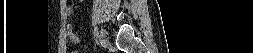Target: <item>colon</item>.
<instances>
[{"label":"colon","mask_w":253,"mask_h":53,"mask_svg":"<svg viewBox=\"0 0 253 53\" xmlns=\"http://www.w3.org/2000/svg\"><path fill=\"white\" fill-rule=\"evenodd\" d=\"M71 53H76V51L75 50H71Z\"/></svg>","instance_id":"colon-1"}]
</instances>
